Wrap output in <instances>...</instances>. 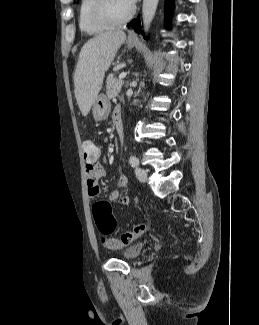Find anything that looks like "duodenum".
<instances>
[{
	"label": "duodenum",
	"instance_id": "duodenum-1",
	"mask_svg": "<svg viewBox=\"0 0 259 325\" xmlns=\"http://www.w3.org/2000/svg\"><path fill=\"white\" fill-rule=\"evenodd\" d=\"M114 125L118 135V139L120 142H122L124 137V126L122 116L120 114H116V116L114 117Z\"/></svg>",
	"mask_w": 259,
	"mask_h": 325
}]
</instances>
